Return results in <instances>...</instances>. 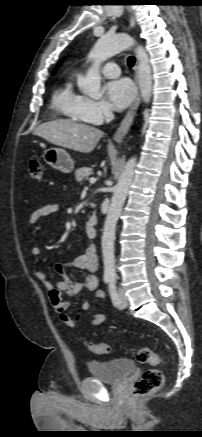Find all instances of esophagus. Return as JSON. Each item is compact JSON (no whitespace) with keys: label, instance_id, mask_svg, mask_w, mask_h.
<instances>
[{"label":"esophagus","instance_id":"1","mask_svg":"<svg viewBox=\"0 0 202 437\" xmlns=\"http://www.w3.org/2000/svg\"><path fill=\"white\" fill-rule=\"evenodd\" d=\"M134 71H135L134 80H135V85H136V98H135L134 102L131 104L125 117L121 121L120 126L118 127L117 131L114 134V140L117 143H121L123 141L124 137L126 136V134L128 133V131L133 123V120L136 116V112L138 110V107H139L140 101H141V96H140V91H139V86H138V75H137V73H138V60L137 59L135 62Z\"/></svg>","mask_w":202,"mask_h":437}]
</instances>
